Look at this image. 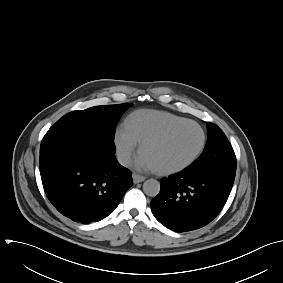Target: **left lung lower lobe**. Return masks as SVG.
I'll return each mask as SVG.
<instances>
[{
    "mask_svg": "<svg viewBox=\"0 0 283 283\" xmlns=\"http://www.w3.org/2000/svg\"><path fill=\"white\" fill-rule=\"evenodd\" d=\"M235 175L193 173L185 169L161 180V190L151 201L155 218L175 232L199 229L211 222L225 205Z\"/></svg>",
    "mask_w": 283,
    "mask_h": 283,
    "instance_id": "left-lung-lower-lobe-1",
    "label": "left lung lower lobe"
}]
</instances>
